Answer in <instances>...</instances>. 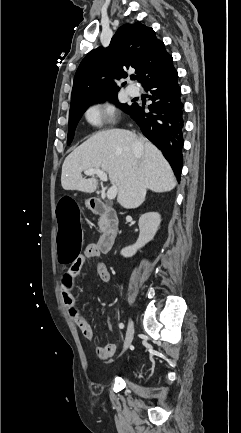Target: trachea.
<instances>
[{"mask_svg":"<svg viewBox=\"0 0 241 433\" xmlns=\"http://www.w3.org/2000/svg\"><path fill=\"white\" fill-rule=\"evenodd\" d=\"M132 79H133V80H136V79H137V77H136V76H132Z\"/></svg>","mask_w":241,"mask_h":433,"instance_id":"obj_1","label":"trachea"}]
</instances>
